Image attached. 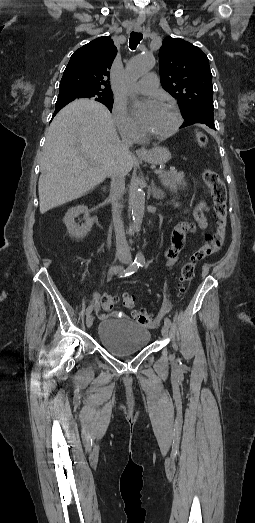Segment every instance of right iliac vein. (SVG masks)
Listing matches in <instances>:
<instances>
[{
  "label": "right iliac vein",
  "mask_w": 255,
  "mask_h": 523,
  "mask_svg": "<svg viewBox=\"0 0 255 523\" xmlns=\"http://www.w3.org/2000/svg\"><path fill=\"white\" fill-rule=\"evenodd\" d=\"M121 262H124L122 259H120ZM93 324V316L91 314H88L86 317V325L88 328H90Z\"/></svg>",
  "instance_id": "right-iliac-vein-1"
}]
</instances>
